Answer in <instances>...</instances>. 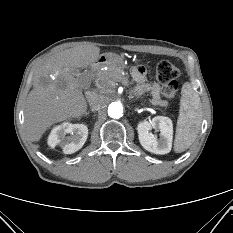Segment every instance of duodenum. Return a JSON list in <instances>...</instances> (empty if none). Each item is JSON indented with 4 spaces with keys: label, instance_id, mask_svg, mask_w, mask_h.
Returning <instances> with one entry per match:
<instances>
[{
    "label": "duodenum",
    "instance_id": "1",
    "mask_svg": "<svg viewBox=\"0 0 233 233\" xmlns=\"http://www.w3.org/2000/svg\"><path fill=\"white\" fill-rule=\"evenodd\" d=\"M104 62V59H98L97 61H95L92 65V69H96L98 68L100 65H102Z\"/></svg>",
    "mask_w": 233,
    "mask_h": 233
}]
</instances>
